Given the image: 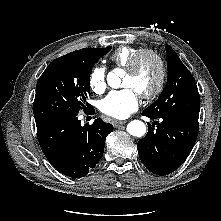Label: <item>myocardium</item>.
Returning a JSON list of instances; mask_svg holds the SVG:
<instances>
[{"instance_id":"obj_1","label":"myocardium","mask_w":221,"mask_h":221,"mask_svg":"<svg viewBox=\"0 0 221 221\" xmlns=\"http://www.w3.org/2000/svg\"><path fill=\"white\" fill-rule=\"evenodd\" d=\"M144 56H151L157 62L160 71V76L156 87L151 92L140 95L143 99L151 100L156 98L164 89L167 78V70L164 59L159 53L151 49H142L133 56L129 65L126 67V72L129 74H134Z\"/></svg>"}]
</instances>
